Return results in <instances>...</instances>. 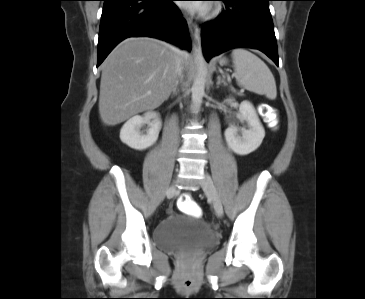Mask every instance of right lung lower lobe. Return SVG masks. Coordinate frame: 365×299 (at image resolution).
I'll return each mask as SVG.
<instances>
[{
  "label": "right lung lower lobe",
  "mask_w": 365,
  "mask_h": 299,
  "mask_svg": "<svg viewBox=\"0 0 365 299\" xmlns=\"http://www.w3.org/2000/svg\"><path fill=\"white\" fill-rule=\"evenodd\" d=\"M97 67L122 40L148 36L191 50L185 19L173 0H103Z\"/></svg>",
  "instance_id": "98d812e1"
}]
</instances>
